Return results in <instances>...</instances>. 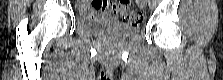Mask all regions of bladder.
Segmentation results:
<instances>
[{
  "label": "bladder",
  "instance_id": "1",
  "mask_svg": "<svg viewBox=\"0 0 223 80\" xmlns=\"http://www.w3.org/2000/svg\"><path fill=\"white\" fill-rule=\"evenodd\" d=\"M78 25L85 31L100 37L127 39L139 31L137 25H130L104 16L80 15Z\"/></svg>",
  "mask_w": 223,
  "mask_h": 80
}]
</instances>
